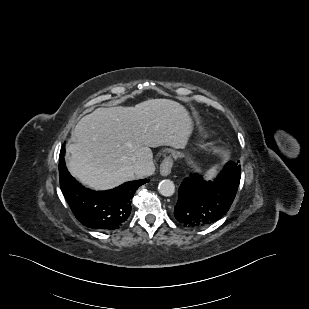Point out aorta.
I'll list each match as a JSON object with an SVG mask.
<instances>
[{
	"instance_id": "1",
	"label": "aorta",
	"mask_w": 309,
	"mask_h": 309,
	"mask_svg": "<svg viewBox=\"0 0 309 309\" xmlns=\"http://www.w3.org/2000/svg\"><path fill=\"white\" fill-rule=\"evenodd\" d=\"M158 191L162 196L170 197L175 192V185L169 179L162 180L158 185Z\"/></svg>"
}]
</instances>
